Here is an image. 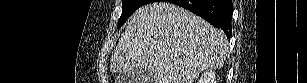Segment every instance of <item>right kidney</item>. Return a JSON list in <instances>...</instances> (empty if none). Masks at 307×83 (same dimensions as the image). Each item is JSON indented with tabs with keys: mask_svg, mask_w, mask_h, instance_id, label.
Listing matches in <instances>:
<instances>
[{
	"mask_svg": "<svg viewBox=\"0 0 307 83\" xmlns=\"http://www.w3.org/2000/svg\"><path fill=\"white\" fill-rule=\"evenodd\" d=\"M198 83H216L215 72L211 69L206 70L200 77Z\"/></svg>",
	"mask_w": 307,
	"mask_h": 83,
	"instance_id": "ca27d5eb",
	"label": "right kidney"
}]
</instances>
